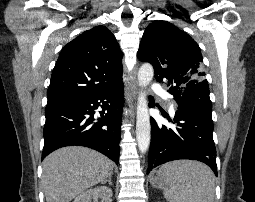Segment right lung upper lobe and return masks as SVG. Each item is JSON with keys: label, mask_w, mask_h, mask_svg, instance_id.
<instances>
[{"label": "right lung upper lobe", "mask_w": 255, "mask_h": 202, "mask_svg": "<svg viewBox=\"0 0 255 202\" xmlns=\"http://www.w3.org/2000/svg\"><path fill=\"white\" fill-rule=\"evenodd\" d=\"M122 57L105 26L83 32L61 50L47 91V104L114 88L122 82Z\"/></svg>", "instance_id": "right-lung-upper-lobe-1"}]
</instances>
